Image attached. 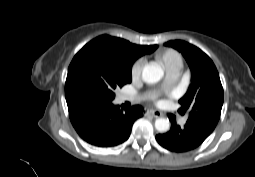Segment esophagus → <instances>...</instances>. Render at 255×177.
Here are the masks:
<instances>
[{"mask_svg":"<svg viewBox=\"0 0 255 177\" xmlns=\"http://www.w3.org/2000/svg\"><path fill=\"white\" fill-rule=\"evenodd\" d=\"M145 115H151L154 118L161 117V113L157 110L147 109L145 110Z\"/></svg>","mask_w":255,"mask_h":177,"instance_id":"1","label":"esophagus"}]
</instances>
